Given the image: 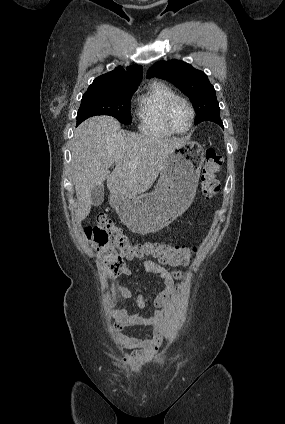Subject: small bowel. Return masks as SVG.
Instances as JSON below:
<instances>
[{
  "mask_svg": "<svg viewBox=\"0 0 285 424\" xmlns=\"http://www.w3.org/2000/svg\"><path fill=\"white\" fill-rule=\"evenodd\" d=\"M143 266L146 271L157 276L159 278V284H163L165 288L153 296L152 294H145L143 286L139 287L136 294L137 306L144 309L152 303L157 310L151 314L141 315L139 313L124 310H114L112 312V318L114 320L112 332L115 339L123 345L134 348L131 353L123 355V361L125 363H130L138 356L152 355L158 348V341L155 338L137 339L129 337L123 333V330L141 326H155L164 315L163 308L170 299L174 296H181L183 293L182 284L178 283V281H181L183 278L182 272L169 271L164 266L151 260H145ZM132 273L133 271L129 267H125L121 272L123 276H130ZM116 290L118 294L125 299L132 298L135 295L132 290L119 281L116 283Z\"/></svg>",
  "mask_w": 285,
  "mask_h": 424,
  "instance_id": "c3829d8e",
  "label": "small bowel"
}]
</instances>
